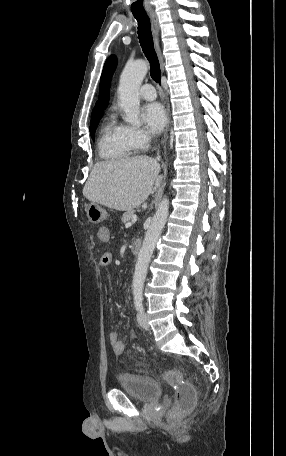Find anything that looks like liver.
Listing matches in <instances>:
<instances>
[{
    "mask_svg": "<svg viewBox=\"0 0 286 456\" xmlns=\"http://www.w3.org/2000/svg\"><path fill=\"white\" fill-rule=\"evenodd\" d=\"M160 169L157 160L149 156L98 162L83 188V195L92 203L130 211L154 193L161 180Z\"/></svg>",
    "mask_w": 286,
    "mask_h": 456,
    "instance_id": "obj_1",
    "label": "liver"
}]
</instances>
